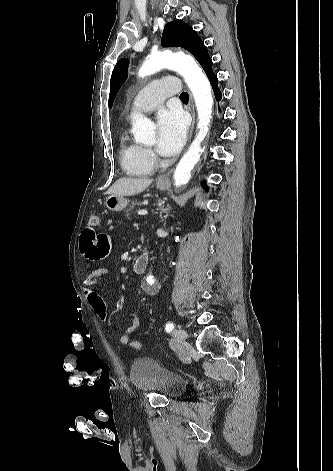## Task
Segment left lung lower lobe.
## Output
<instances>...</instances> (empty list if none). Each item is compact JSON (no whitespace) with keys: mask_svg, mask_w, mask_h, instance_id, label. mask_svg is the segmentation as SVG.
Instances as JSON below:
<instances>
[{"mask_svg":"<svg viewBox=\"0 0 333 471\" xmlns=\"http://www.w3.org/2000/svg\"><path fill=\"white\" fill-rule=\"evenodd\" d=\"M202 68L204 69L212 87L213 91L215 93V98L217 101H220L222 96H221V91L219 90L217 86V76L213 73L212 70V60L208 56L202 63H201ZM203 185L206 187V183L203 182Z\"/></svg>","mask_w":333,"mask_h":471,"instance_id":"obj_1","label":"left lung lower lobe"}]
</instances>
